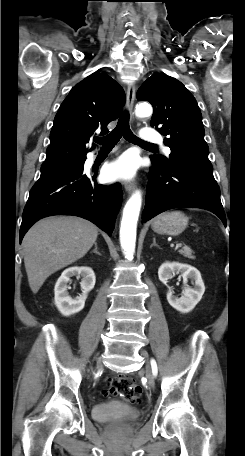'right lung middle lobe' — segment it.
<instances>
[{
    "mask_svg": "<svg viewBox=\"0 0 245 456\" xmlns=\"http://www.w3.org/2000/svg\"><path fill=\"white\" fill-rule=\"evenodd\" d=\"M84 164V160L80 161H75L71 163H67L64 165L56 166V167H51V168H44L41 169V176L40 177H46V176H52V175H57L61 173H67V172H74L79 170Z\"/></svg>",
    "mask_w": 245,
    "mask_h": 456,
    "instance_id": "obj_1",
    "label": "right lung middle lobe"
}]
</instances>
